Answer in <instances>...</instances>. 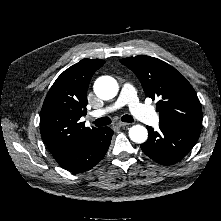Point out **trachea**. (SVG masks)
Here are the masks:
<instances>
[{
	"instance_id": "1",
	"label": "trachea",
	"mask_w": 221,
	"mask_h": 221,
	"mask_svg": "<svg viewBox=\"0 0 221 221\" xmlns=\"http://www.w3.org/2000/svg\"><path fill=\"white\" fill-rule=\"evenodd\" d=\"M121 121L131 123V122H134V119L131 115H124L121 117ZM93 123L97 127L107 126L111 123V119L109 117H102V118L96 119Z\"/></svg>"
}]
</instances>
